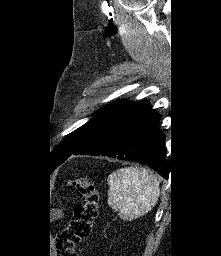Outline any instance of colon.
Wrapping results in <instances>:
<instances>
[{"label": "colon", "instance_id": "1", "mask_svg": "<svg viewBox=\"0 0 221 256\" xmlns=\"http://www.w3.org/2000/svg\"><path fill=\"white\" fill-rule=\"evenodd\" d=\"M68 184L79 191L82 203L73 208L68 226L56 239L57 256H76L75 247L91 234L99 209L97 190L87 176L75 178Z\"/></svg>", "mask_w": 221, "mask_h": 256}]
</instances>
